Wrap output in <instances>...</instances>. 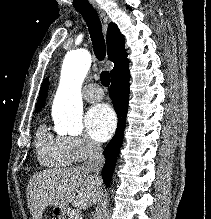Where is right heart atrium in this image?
<instances>
[{"mask_svg":"<svg viewBox=\"0 0 211 219\" xmlns=\"http://www.w3.org/2000/svg\"><path fill=\"white\" fill-rule=\"evenodd\" d=\"M63 143L74 162H82L100 152V146L86 135L64 136Z\"/></svg>","mask_w":211,"mask_h":219,"instance_id":"1","label":"right heart atrium"}]
</instances>
